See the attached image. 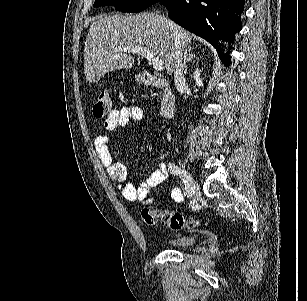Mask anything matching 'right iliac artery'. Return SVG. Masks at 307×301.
I'll list each match as a JSON object with an SVG mask.
<instances>
[{"label":"right iliac artery","instance_id":"82829eb1","mask_svg":"<svg viewBox=\"0 0 307 301\" xmlns=\"http://www.w3.org/2000/svg\"><path fill=\"white\" fill-rule=\"evenodd\" d=\"M168 167H169L168 169H169L171 174L178 175L183 180V182L185 183V189H187V173H186V171L181 169L175 163H169Z\"/></svg>","mask_w":307,"mask_h":301}]
</instances>
